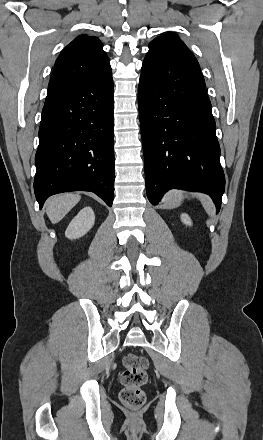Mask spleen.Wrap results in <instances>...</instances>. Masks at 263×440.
Returning <instances> with one entry per match:
<instances>
[{
    "label": "spleen",
    "instance_id": "1",
    "mask_svg": "<svg viewBox=\"0 0 263 440\" xmlns=\"http://www.w3.org/2000/svg\"><path fill=\"white\" fill-rule=\"evenodd\" d=\"M198 195H199L200 201H201L205 211L209 215H212L214 212V205H213L212 200L207 195H204V194H198Z\"/></svg>",
    "mask_w": 263,
    "mask_h": 440
}]
</instances>
